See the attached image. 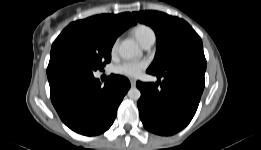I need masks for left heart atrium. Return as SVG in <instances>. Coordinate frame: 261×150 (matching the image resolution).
Returning <instances> with one entry per match:
<instances>
[{"instance_id":"39dd6f15","label":"left heart atrium","mask_w":261,"mask_h":150,"mask_svg":"<svg viewBox=\"0 0 261 150\" xmlns=\"http://www.w3.org/2000/svg\"><path fill=\"white\" fill-rule=\"evenodd\" d=\"M146 61H125L116 66L115 70L118 74L128 77H138L146 68Z\"/></svg>"}]
</instances>
